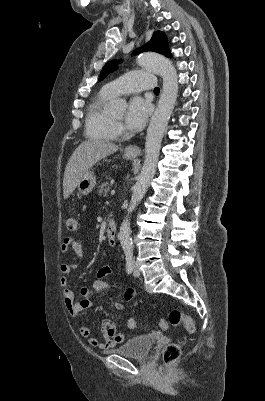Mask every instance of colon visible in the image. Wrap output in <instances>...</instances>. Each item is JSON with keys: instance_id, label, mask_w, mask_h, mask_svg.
<instances>
[{"instance_id": "5ec220e1", "label": "colon", "mask_w": 265, "mask_h": 401, "mask_svg": "<svg viewBox=\"0 0 265 401\" xmlns=\"http://www.w3.org/2000/svg\"><path fill=\"white\" fill-rule=\"evenodd\" d=\"M66 228L69 232H75L78 228L77 219L74 216H69L66 219ZM169 325L171 326H178L183 325L187 332L193 333L195 331V323L193 319L184 314L179 310H172L169 315L168 319L161 320L160 327L162 329L167 328ZM128 326L130 328L136 327V320L134 318H130L128 320ZM182 344L181 343H171L167 345L162 352V358L165 365H169L177 360L181 354Z\"/></svg>"}]
</instances>
